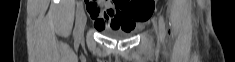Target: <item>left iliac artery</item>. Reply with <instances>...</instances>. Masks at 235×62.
Returning a JSON list of instances; mask_svg holds the SVG:
<instances>
[{
	"mask_svg": "<svg viewBox=\"0 0 235 62\" xmlns=\"http://www.w3.org/2000/svg\"><path fill=\"white\" fill-rule=\"evenodd\" d=\"M159 29L163 37L165 36V22L162 15H159Z\"/></svg>",
	"mask_w": 235,
	"mask_h": 62,
	"instance_id": "44dca946",
	"label": "left iliac artery"
}]
</instances>
